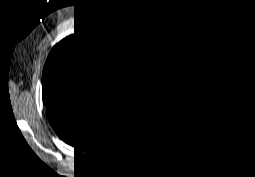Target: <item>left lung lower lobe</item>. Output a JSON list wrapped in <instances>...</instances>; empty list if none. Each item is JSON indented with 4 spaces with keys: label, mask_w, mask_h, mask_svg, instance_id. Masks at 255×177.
Returning a JSON list of instances; mask_svg holds the SVG:
<instances>
[{
    "label": "left lung lower lobe",
    "mask_w": 255,
    "mask_h": 177,
    "mask_svg": "<svg viewBox=\"0 0 255 177\" xmlns=\"http://www.w3.org/2000/svg\"><path fill=\"white\" fill-rule=\"evenodd\" d=\"M154 111L150 103H145L146 118L138 124L145 139L159 146H168L177 136L178 124L190 117L191 109L159 100Z\"/></svg>",
    "instance_id": "left-lung-lower-lobe-1"
}]
</instances>
